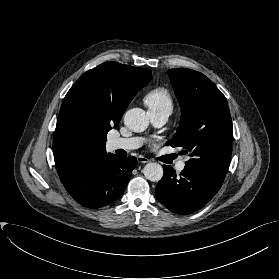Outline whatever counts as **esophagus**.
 I'll list each match as a JSON object with an SVG mask.
<instances>
[{"label":"esophagus","instance_id":"esophagus-1","mask_svg":"<svg viewBox=\"0 0 279 279\" xmlns=\"http://www.w3.org/2000/svg\"><path fill=\"white\" fill-rule=\"evenodd\" d=\"M137 161H138L139 163H148V162H149V159L146 158V157H144V156H138V157H137Z\"/></svg>","mask_w":279,"mask_h":279}]
</instances>
